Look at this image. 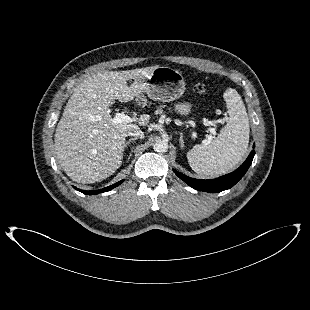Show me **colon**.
<instances>
[{
  "label": "colon",
  "instance_id": "obj_1",
  "mask_svg": "<svg viewBox=\"0 0 310 310\" xmlns=\"http://www.w3.org/2000/svg\"><path fill=\"white\" fill-rule=\"evenodd\" d=\"M205 90H206V88H205V86L202 85V84H196V85L194 86V91H195L196 93L202 94V93L205 92Z\"/></svg>",
  "mask_w": 310,
  "mask_h": 310
}]
</instances>
